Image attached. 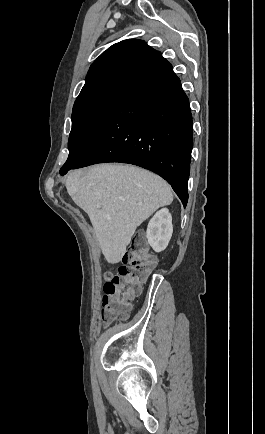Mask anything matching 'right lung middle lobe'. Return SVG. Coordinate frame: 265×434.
I'll return each instance as SVG.
<instances>
[{
    "label": "right lung middle lobe",
    "instance_id": "right-lung-middle-lobe-1",
    "mask_svg": "<svg viewBox=\"0 0 265 434\" xmlns=\"http://www.w3.org/2000/svg\"><path fill=\"white\" fill-rule=\"evenodd\" d=\"M133 77L117 74L84 85L73 106L69 156L60 173L83 157Z\"/></svg>",
    "mask_w": 265,
    "mask_h": 434
}]
</instances>
